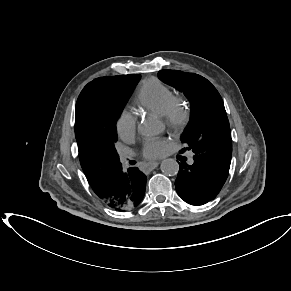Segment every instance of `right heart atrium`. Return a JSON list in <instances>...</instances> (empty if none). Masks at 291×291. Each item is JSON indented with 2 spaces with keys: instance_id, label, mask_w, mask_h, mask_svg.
<instances>
[{
  "instance_id": "1",
  "label": "right heart atrium",
  "mask_w": 291,
  "mask_h": 291,
  "mask_svg": "<svg viewBox=\"0 0 291 291\" xmlns=\"http://www.w3.org/2000/svg\"><path fill=\"white\" fill-rule=\"evenodd\" d=\"M137 128L135 116L129 111H123L117 121L116 129L120 138L129 140L134 137Z\"/></svg>"
}]
</instances>
